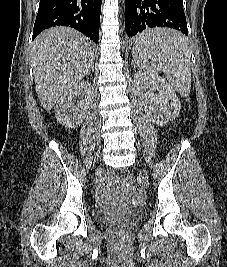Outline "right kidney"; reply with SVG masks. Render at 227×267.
<instances>
[{"mask_svg":"<svg viewBox=\"0 0 227 267\" xmlns=\"http://www.w3.org/2000/svg\"><path fill=\"white\" fill-rule=\"evenodd\" d=\"M91 83L81 81L64 93L56 104L57 121L67 128L79 126L89 108Z\"/></svg>","mask_w":227,"mask_h":267,"instance_id":"right-kidney-1","label":"right kidney"}]
</instances>
